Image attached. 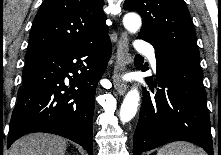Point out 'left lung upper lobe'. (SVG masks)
<instances>
[{
  "label": "left lung upper lobe",
  "mask_w": 221,
  "mask_h": 155,
  "mask_svg": "<svg viewBox=\"0 0 221 155\" xmlns=\"http://www.w3.org/2000/svg\"><path fill=\"white\" fill-rule=\"evenodd\" d=\"M124 9L141 15L143 25L139 38L154 47L200 55L195 29L183 0H125Z\"/></svg>",
  "instance_id": "left-lung-upper-lobe-1"
}]
</instances>
